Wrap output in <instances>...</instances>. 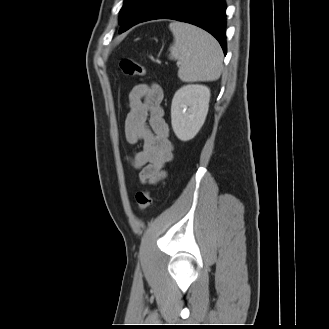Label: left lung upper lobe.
I'll list each match as a JSON object with an SVG mask.
<instances>
[{
	"label": "left lung upper lobe",
	"mask_w": 329,
	"mask_h": 329,
	"mask_svg": "<svg viewBox=\"0 0 329 329\" xmlns=\"http://www.w3.org/2000/svg\"><path fill=\"white\" fill-rule=\"evenodd\" d=\"M149 0H125L120 10L119 24H121L120 32L131 22L132 16Z\"/></svg>",
	"instance_id": "1"
}]
</instances>
